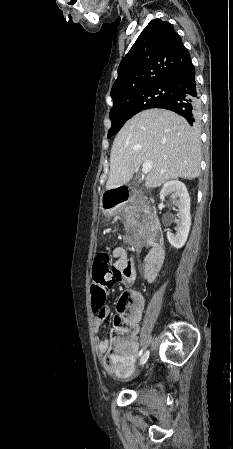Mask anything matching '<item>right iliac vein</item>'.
Masks as SVG:
<instances>
[{
    "label": "right iliac vein",
    "mask_w": 233,
    "mask_h": 449,
    "mask_svg": "<svg viewBox=\"0 0 233 449\" xmlns=\"http://www.w3.org/2000/svg\"><path fill=\"white\" fill-rule=\"evenodd\" d=\"M145 356H142L140 362H139V367L142 366L145 363Z\"/></svg>",
    "instance_id": "right-iliac-vein-1"
}]
</instances>
